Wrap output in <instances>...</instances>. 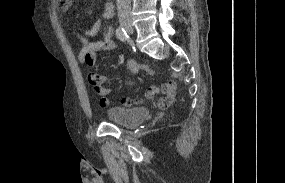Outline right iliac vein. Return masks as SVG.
I'll return each instance as SVG.
<instances>
[{"instance_id":"1","label":"right iliac vein","mask_w":285,"mask_h":183,"mask_svg":"<svg viewBox=\"0 0 285 183\" xmlns=\"http://www.w3.org/2000/svg\"><path fill=\"white\" fill-rule=\"evenodd\" d=\"M121 26L129 33H133L132 21L128 17H123L120 19Z\"/></svg>"}]
</instances>
